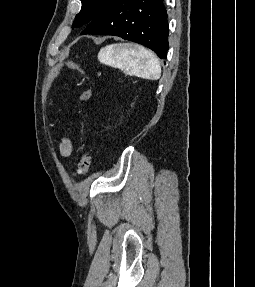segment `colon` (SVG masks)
I'll list each match as a JSON object with an SVG mask.
<instances>
[{
  "mask_svg": "<svg viewBox=\"0 0 255 287\" xmlns=\"http://www.w3.org/2000/svg\"><path fill=\"white\" fill-rule=\"evenodd\" d=\"M67 65L72 70L77 71L81 74H84L83 69L79 65H77L73 62H68ZM90 96H91V90L85 89L81 93L80 99L82 101H86L90 98ZM90 164H91V158H90L89 153L87 151H83L81 156H80V160H79V164H78V169H79V172L82 176H86L89 173Z\"/></svg>",
  "mask_w": 255,
  "mask_h": 287,
  "instance_id": "1",
  "label": "colon"
}]
</instances>
